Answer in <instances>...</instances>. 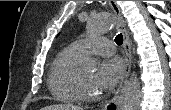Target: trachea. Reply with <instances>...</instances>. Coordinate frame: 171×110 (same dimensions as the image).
Instances as JSON below:
<instances>
[{"instance_id": "1", "label": "trachea", "mask_w": 171, "mask_h": 110, "mask_svg": "<svg viewBox=\"0 0 171 110\" xmlns=\"http://www.w3.org/2000/svg\"><path fill=\"white\" fill-rule=\"evenodd\" d=\"M115 42L118 44V45H121L123 43V36L122 34H118L116 37H115Z\"/></svg>"}]
</instances>
